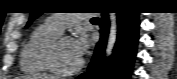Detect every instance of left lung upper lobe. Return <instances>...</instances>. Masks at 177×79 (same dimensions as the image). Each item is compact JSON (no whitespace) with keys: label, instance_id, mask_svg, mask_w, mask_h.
Segmentation results:
<instances>
[{"label":"left lung upper lobe","instance_id":"1","mask_svg":"<svg viewBox=\"0 0 177 79\" xmlns=\"http://www.w3.org/2000/svg\"><path fill=\"white\" fill-rule=\"evenodd\" d=\"M41 14H42V12H36V11L32 12L31 16H30V19H29V21H28L26 26L28 27L32 23V21L34 19H36L38 16H40Z\"/></svg>","mask_w":177,"mask_h":79}]
</instances>
